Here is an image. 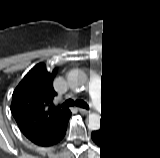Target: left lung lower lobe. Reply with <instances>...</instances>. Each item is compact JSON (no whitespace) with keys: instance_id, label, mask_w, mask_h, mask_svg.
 Listing matches in <instances>:
<instances>
[{"instance_id":"0a47b994","label":"left lung lower lobe","mask_w":160,"mask_h":158,"mask_svg":"<svg viewBox=\"0 0 160 158\" xmlns=\"http://www.w3.org/2000/svg\"><path fill=\"white\" fill-rule=\"evenodd\" d=\"M137 134L109 125L101 119L99 129L92 131L91 139L105 150H116L126 146Z\"/></svg>"}]
</instances>
